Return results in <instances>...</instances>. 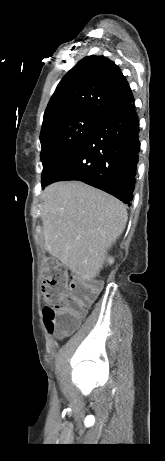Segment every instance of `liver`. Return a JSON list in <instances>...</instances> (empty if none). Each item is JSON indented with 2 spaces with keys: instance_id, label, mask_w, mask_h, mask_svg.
Instances as JSON below:
<instances>
[{
  "instance_id": "6515ba94",
  "label": "liver",
  "mask_w": 165,
  "mask_h": 461,
  "mask_svg": "<svg viewBox=\"0 0 165 461\" xmlns=\"http://www.w3.org/2000/svg\"><path fill=\"white\" fill-rule=\"evenodd\" d=\"M42 200L45 249L83 279L96 277L125 228V205L78 181L49 185Z\"/></svg>"
}]
</instances>
